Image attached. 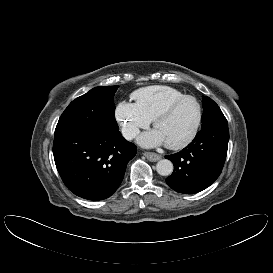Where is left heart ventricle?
Segmentation results:
<instances>
[{"instance_id":"b2bd125f","label":"left heart ventricle","mask_w":273,"mask_h":273,"mask_svg":"<svg viewBox=\"0 0 273 273\" xmlns=\"http://www.w3.org/2000/svg\"><path fill=\"white\" fill-rule=\"evenodd\" d=\"M197 119V106L192 100L178 104L170 115L161 120L155 130L166 144H177L183 141L194 128Z\"/></svg>"}]
</instances>
